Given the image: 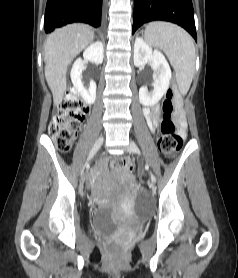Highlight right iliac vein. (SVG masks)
Instances as JSON below:
<instances>
[{
  "label": "right iliac vein",
  "instance_id": "right-iliac-vein-1",
  "mask_svg": "<svg viewBox=\"0 0 238 278\" xmlns=\"http://www.w3.org/2000/svg\"><path fill=\"white\" fill-rule=\"evenodd\" d=\"M104 141L103 136L98 137V139L95 141V143L93 144L89 156H88V160H90L96 153L97 151L100 149V147L102 146ZM87 160V161H88ZM88 162L85 163V166L87 165ZM81 174H84V168H80ZM79 178H82V175H79Z\"/></svg>",
  "mask_w": 238,
  "mask_h": 278
}]
</instances>
